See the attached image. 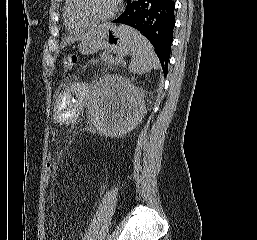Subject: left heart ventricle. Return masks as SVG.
Segmentation results:
<instances>
[{"instance_id":"1","label":"left heart ventricle","mask_w":257,"mask_h":240,"mask_svg":"<svg viewBox=\"0 0 257 240\" xmlns=\"http://www.w3.org/2000/svg\"><path fill=\"white\" fill-rule=\"evenodd\" d=\"M116 0H82V10L93 17L108 14L115 6Z\"/></svg>"}]
</instances>
